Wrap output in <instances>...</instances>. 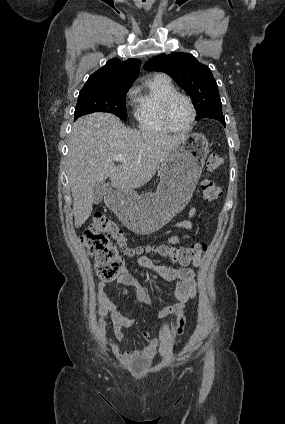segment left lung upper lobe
I'll return each instance as SVG.
<instances>
[{"label": "left lung upper lobe", "instance_id": "1", "mask_svg": "<svg viewBox=\"0 0 285 424\" xmlns=\"http://www.w3.org/2000/svg\"><path fill=\"white\" fill-rule=\"evenodd\" d=\"M144 68L168 74L193 100L197 120L214 110H222L217 83L208 66L186 53L160 54L148 60Z\"/></svg>", "mask_w": 285, "mask_h": 424}]
</instances>
